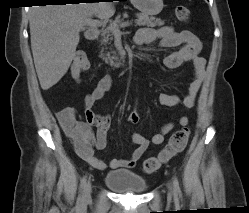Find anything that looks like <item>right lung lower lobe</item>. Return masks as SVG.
<instances>
[{
	"label": "right lung lower lobe",
	"instance_id": "obj_1",
	"mask_svg": "<svg viewBox=\"0 0 249 213\" xmlns=\"http://www.w3.org/2000/svg\"><path fill=\"white\" fill-rule=\"evenodd\" d=\"M45 1L59 5V4H66V3H79L80 0H45ZM109 1H113V0H109Z\"/></svg>",
	"mask_w": 249,
	"mask_h": 213
}]
</instances>
